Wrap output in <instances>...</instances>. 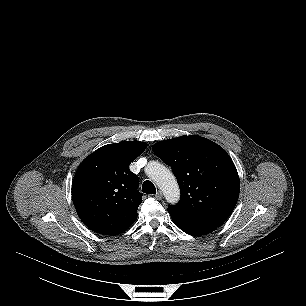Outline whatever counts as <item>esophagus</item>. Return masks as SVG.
Here are the masks:
<instances>
[{
    "mask_svg": "<svg viewBox=\"0 0 306 306\" xmlns=\"http://www.w3.org/2000/svg\"><path fill=\"white\" fill-rule=\"evenodd\" d=\"M162 197H163L162 191L159 190V191L156 193L155 198L158 199V200H160V199H162Z\"/></svg>",
    "mask_w": 306,
    "mask_h": 306,
    "instance_id": "esophagus-1",
    "label": "esophagus"
}]
</instances>
